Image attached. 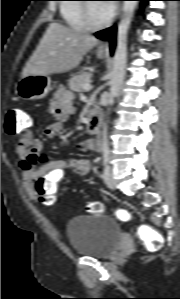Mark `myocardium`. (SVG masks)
Listing matches in <instances>:
<instances>
[{"label":"myocardium","instance_id":"myocardium-1","mask_svg":"<svg viewBox=\"0 0 180 299\" xmlns=\"http://www.w3.org/2000/svg\"><path fill=\"white\" fill-rule=\"evenodd\" d=\"M82 9H83V19L85 22V25L88 29L90 30H99L107 27L110 25V23L113 20V14L109 15V17L100 23H95L92 20L91 13H90V3H85L82 4Z\"/></svg>","mask_w":180,"mask_h":299}]
</instances>
